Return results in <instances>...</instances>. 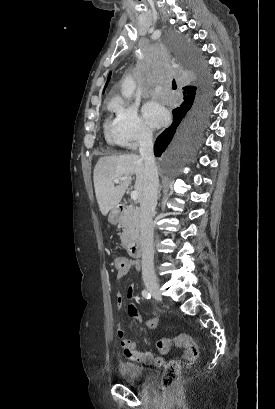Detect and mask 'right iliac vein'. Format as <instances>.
<instances>
[{
    "mask_svg": "<svg viewBox=\"0 0 275 409\" xmlns=\"http://www.w3.org/2000/svg\"><path fill=\"white\" fill-rule=\"evenodd\" d=\"M145 286L147 287V289L150 291V293L153 295L155 299L162 300L161 290L157 282L147 281L145 282Z\"/></svg>",
    "mask_w": 275,
    "mask_h": 409,
    "instance_id": "1",
    "label": "right iliac vein"
}]
</instances>
